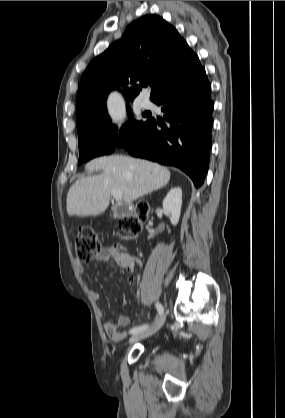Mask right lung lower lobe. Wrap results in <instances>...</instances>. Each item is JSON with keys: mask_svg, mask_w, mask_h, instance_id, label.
<instances>
[{"mask_svg": "<svg viewBox=\"0 0 285 418\" xmlns=\"http://www.w3.org/2000/svg\"><path fill=\"white\" fill-rule=\"evenodd\" d=\"M156 104L163 106L169 125L151 118L122 147L132 156L180 168L198 188L208 171L212 146L214 103L205 69L168 91Z\"/></svg>", "mask_w": 285, "mask_h": 418, "instance_id": "right-lung-lower-lobe-1", "label": "right lung lower lobe"}]
</instances>
